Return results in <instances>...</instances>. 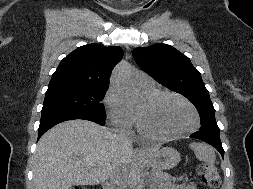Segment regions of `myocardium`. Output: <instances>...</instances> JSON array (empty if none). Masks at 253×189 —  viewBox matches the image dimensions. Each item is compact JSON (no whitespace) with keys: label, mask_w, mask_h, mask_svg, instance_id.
Returning a JSON list of instances; mask_svg holds the SVG:
<instances>
[{"label":"myocardium","mask_w":253,"mask_h":189,"mask_svg":"<svg viewBox=\"0 0 253 189\" xmlns=\"http://www.w3.org/2000/svg\"><path fill=\"white\" fill-rule=\"evenodd\" d=\"M163 97H173V98H176L179 101L183 102L185 105H187L191 109V111L194 115L193 125L190 128H188L184 131L175 133V134L161 135V134H157V133H154V132L148 130L145 127V125L143 124L142 118H141L140 114L138 113L137 114V128L141 134H143L144 136H146L148 138L154 139V140L170 141V140H175V139L190 135L199 128L200 116H199L197 109L189 100H187L185 97H183L182 95H180L178 93L171 92V91H159V92H156L155 94L151 95L150 97H148L146 99V103L148 105H153Z\"/></svg>","instance_id":"obj_1"}]
</instances>
